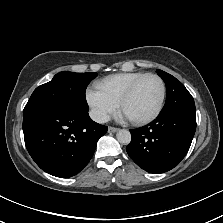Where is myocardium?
Segmentation results:
<instances>
[{
    "mask_svg": "<svg viewBox=\"0 0 223 223\" xmlns=\"http://www.w3.org/2000/svg\"><path fill=\"white\" fill-rule=\"evenodd\" d=\"M155 78L159 81L160 83V98L157 104V107L155 108V110L148 115L147 117L144 118H139V119H134V118H129L130 121H132L133 123L136 124H146L149 123L151 121H153L154 119L157 118V116L160 114L162 108H163V104H164V100H165V96H166V86L165 83L163 81V79L156 75V74H146L143 77L139 78L126 92L125 94L119 99V108L121 109L122 106L125 104V102H127L129 100V98L136 92V90L138 89V87L142 84V82L144 80H146L147 78Z\"/></svg>",
    "mask_w": 223,
    "mask_h": 223,
    "instance_id": "obj_1",
    "label": "myocardium"
}]
</instances>
